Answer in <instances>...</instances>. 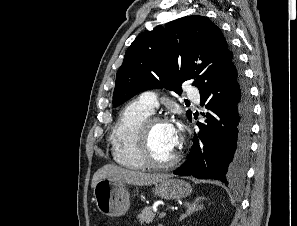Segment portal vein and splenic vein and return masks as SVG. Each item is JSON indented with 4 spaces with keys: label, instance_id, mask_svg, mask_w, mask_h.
Returning <instances> with one entry per match:
<instances>
[{
    "label": "portal vein and splenic vein",
    "instance_id": "portal-vein-and-splenic-vein-1",
    "mask_svg": "<svg viewBox=\"0 0 297 226\" xmlns=\"http://www.w3.org/2000/svg\"><path fill=\"white\" fill-rule=\"evenodd\" d=\"M166 216V212H161L160 215H159V218H163Z\"/></svg>",
    "mask_w": 297,
    "mask_h": 226
}]
</instances>
